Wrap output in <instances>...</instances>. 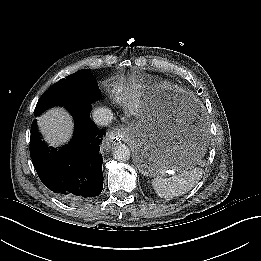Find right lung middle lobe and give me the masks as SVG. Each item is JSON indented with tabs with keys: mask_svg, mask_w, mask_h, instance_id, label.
I'll list each match as a JSON object with an SVG mask.
<instances>
[{
	"mask_svg": "<svg viewBox=\"0 0 261 261\" xmlns=\"http://www.w3.org/2000/svg\"><path fill=\"white\" fill-rule=\"evenodd\" d=\"M101 96L96 78L89 69H82L61 79L39 99L35 114L52 105H63L70 109L77 104H91Z\"/></svg>",
	"mask_w": 261,
	"mask_h": 261,
	"instance_id": "dd1d6c3e",
	"label": "right lung middle lobe"
}]
</instances>
